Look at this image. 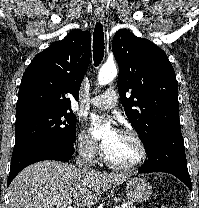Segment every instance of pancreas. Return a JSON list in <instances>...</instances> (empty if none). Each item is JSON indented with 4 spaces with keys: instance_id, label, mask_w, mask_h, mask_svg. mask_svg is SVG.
<instances>
[{
    "instance_id": "pancreas-1",
    "label": "pancreas",
    "mask_w": 199,
    "mask_h": 208,
    "mask_svg": "<svg viewBox=\"0 0 199 208\" xmlns=\"http://www.w3.org/2000/svg\"><path fill=\"white\" fill-rule=\"evenodd\" d=\"M124 203L126 204V208H135L134 206H133V201H124Z\"/></svg>"
}]
</instances>
